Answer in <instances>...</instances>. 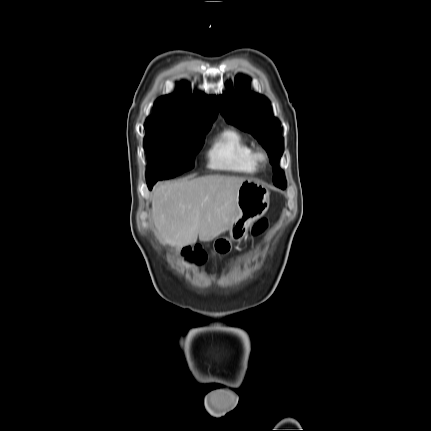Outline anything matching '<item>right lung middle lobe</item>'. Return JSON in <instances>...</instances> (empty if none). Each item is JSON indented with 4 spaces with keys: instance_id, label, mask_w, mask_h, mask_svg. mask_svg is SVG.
Masks as SVG:
<instances>
[{
    "instance_id": "obj_1",
    "label": "right lung middle lobe",
    "mask_w": 431,
    "mask_h": 431,
    "mask_svg": "<svg viewBox=\"0 0 431 431\" xmlns=\"http://www.w3.org/2000/svg\"><path fill=\"white\" fill-rule=\"evenodd\" d=\"M211 126L194 129L163 123H145L144 148L147 157V181L168 179L194 166Z\"/></svg>"
}]
</instances>
